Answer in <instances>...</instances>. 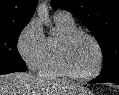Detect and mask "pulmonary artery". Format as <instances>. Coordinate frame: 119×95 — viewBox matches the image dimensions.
I'll return each mask as SVG.
<instances>
[{
  "instance_id": "obj_1",
  "label": "pulmonary artery",
  "mask_w": 119,
  "mask_h": 95,
  "mask_svg": "<svg viewBox=\"0 0 119 95\" xmlns=\"http://www.w3.org/2000/svg\"><path fill=\"white\" fill-rule=\"evenodd\" d=\"M54 19L64 21V22H73V17L70 12L65 10H58L54 13Z\"/></svg>"
}]
</instances>
